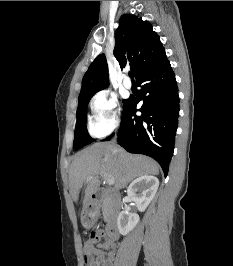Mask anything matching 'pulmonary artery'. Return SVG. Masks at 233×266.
Wrapping results in <instances>:
<instances>
[{
	"label": "pulmonary artery",
	"instance_id": "obj_1",
	"mask_svg": "<svg viewBox=\"0 0 233 266\" xmlns=\"http://www.w3.org/2000/svg\"><path fill=\"white\" fill-rule=\"evenodd\" d=\"M123 85L127 89H131L132 88V82L127 76H125V78L123 80Z\"/></svg>",
	"mask_w": 233,
	"mask_h": 266
}]
</instances>
